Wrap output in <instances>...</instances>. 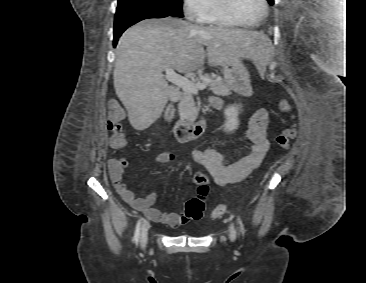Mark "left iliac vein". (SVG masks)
<instances>
[{
	"label": "left iliac vein",
	"mask_w": 366,
	"mask_h": 283,
	"mask_svg": "<svg viewBox=\"0 0 366 283\" xmlns=\"http://www.w3.org/2000/svg\"><path fill=\"white\" fill-rule=\"evenodd\" d=\"M229 238H230L231 241H234L235 238H236V231H235V228H234L233 224H231L229 226Z\"/></svg>",
	"instance_id": "left-iliac-vein-1"
}]
</instances>
